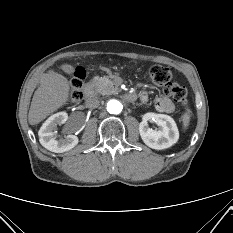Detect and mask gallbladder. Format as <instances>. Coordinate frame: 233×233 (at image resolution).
I'll list each match as a JSON object with an SVG mask.
<instances>
[{
  "instance_id": "obj_1",
  "label": "gallbladder",
  "mask_w": 233,
  "mask_h": 233,
  "mask_svg": "<svg viewBox=\"0 0 233 233\" xmlns=\"http://www.w3.org/2000/svg\"><path fill=\"white\" fill-rule=\"evenodd\" d=\"M61 70L67 74H72L75 71V68L72 65L69 64H63L61 65Z\"/></svg>"
}]
</instances>
